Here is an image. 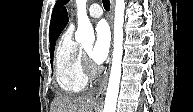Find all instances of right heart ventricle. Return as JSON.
<instances>
[{"instance_id": "obj_1", "label": "right heart ventricle", "mask_w": 193, "mask_h": 112, "mask_svg": "<svg viewBox=\"0 0 193 112\" xmlns=\"http://www.w3.org/2000/svg\"><path fill=\"white\" fill-rule=\"evenodd\" d=\"M55 78L62 91L79 93L87 85L81 59V46L73 39V26L60 37L55 49Z\"/></svg>"}]
</instances>
